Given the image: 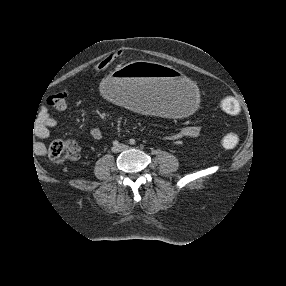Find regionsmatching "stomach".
I'll return each mask as SVG.
<instances>
[{
    "label": "stomach",
    "mask_w": 286,
    "mask_h": 286,
    "mask_svg": "<svg viewBox=\"0 0 286 286\" xmlns=\"http://www.w3.org/2000/svg\"><path fill=\"white\" fill-rule=\"evenodd\" d=\"M100 91L109 103L168 122L191 119L203 102L201 85L191 74L141 60L117 68L102 82Z\"/></svg>",
    "instance_id": "obj_1"
}]
</instances>
